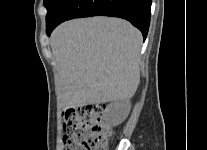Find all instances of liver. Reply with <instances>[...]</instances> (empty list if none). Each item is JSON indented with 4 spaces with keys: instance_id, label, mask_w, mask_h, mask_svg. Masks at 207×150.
<instances>
[{
    "instance_id": "6515ba94",
    "label": "liver",
    "mask_w": 207,
    "mask_h": 150,
    "mask_svg": "<svg viewBox=\"0 0 207 150\" xmlns=\"http://www.w3.org/2000/svg\"><path fill=\"white\" fill-rule=\"evenodd\" d=\"M64 109L128 100L140 82L142 34L119 18L67 21L50 40Z\"/></svg>"
}]
</instances>
